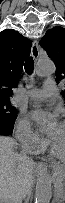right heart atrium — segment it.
<instances>
[{
    "label": "right heart atrium",
    "mask_w": 65,
    "mask_h": 203,
    "mask_svg": "<svg viewBox=\"0 0 65 203\" xmlns=\"http://www.w3.org/2000/svg\"><path fill=\"white\" fill-rule=\"evenodd\" d=\"M15 135L20 146L26 151H37L45 145V141L26 118L18 121Z\"/></svg>",
    "instance_id": "right-heart-atrium-1"
}]
</instances>
